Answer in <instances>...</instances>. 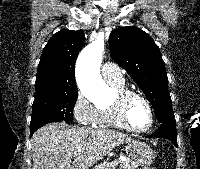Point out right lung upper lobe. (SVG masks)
I'll list each match as a JSON object with an SVG mask.
<instances>
[{
    "instance_id": "right-lung-upper-lobe-1",
    "label": "right lung upper lobe",
    "mask_w": 200,
    "mask_h": 169,
    "mask_svg": "<svg viewBox=\"0 0 200 169\" xmlns=\"http://www.w3.org/2000/svg\"><path fill=\"white\" fill-rule=\"evenodd\" d=\"M85 42L82 30H61L43 49L35 82L36 91L62 90L77 87L75 62Z\"/></svg>"
}]
</instances>
